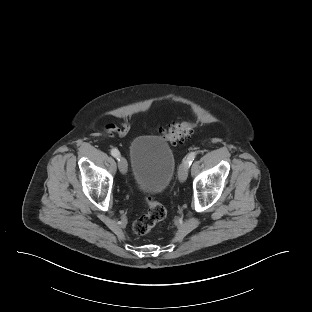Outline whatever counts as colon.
<instances>
[{
  "label": "colon",
  "instance_id": "obj_1",
  "mask_svg": "<svg viewBox=\"0 0 312 312\" xmlns=\"http://www.w3.org/2000/svg\"><path fill=\"white\" fill-rule=\"evenodd\" d=\"M196 128L194 122L172 124L168 129L159 130V135L165 140L177 142L190 134ZM147 211L135 220L133 230L137 235L147 234L158 222L166 217L165 207L151 196L145 198Z\"/></svg>",
  "mask_w": 312,
  "mask_h": 312
}]
</instances>
